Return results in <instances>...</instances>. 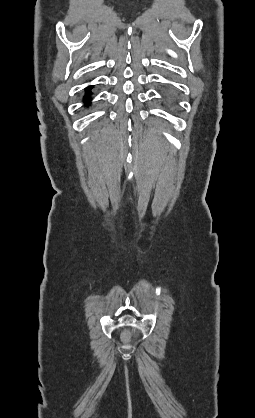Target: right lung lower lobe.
<instances>
[{"instance_id":"right-lung-lower-lobe-1","label":"right lung lower lobe","mask_w":255,"mask_h":418,"mask_svg":"<svg viewBox=\"0 0 255 418\" xmlns=\"http://www.w3.org/2000/svg\"><path fill=\"white\" fill-rule=\"evenodd\" d=\"M91 88H92V86H89L87 89H86V95H85V101L88 103L89 101H90V94H91Z\"/></svg>"}]
</instances>
